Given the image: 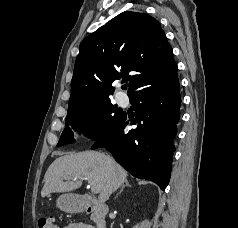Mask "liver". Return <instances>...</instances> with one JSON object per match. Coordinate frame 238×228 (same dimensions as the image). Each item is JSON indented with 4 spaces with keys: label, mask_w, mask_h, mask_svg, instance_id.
Returning a JSON list of instances; mask_svg holds the SVG:
<instances>
[{
    "label": "liver",
    "mask_w": 238,
    "mask_h": 228,
    "mask_svg": "<svg viewBox=\"0 0 238 228\" xmlns=\"http://www.w3.org/2000/svg\"><path fill=\"white\" fill-rule=\"evenodd\" d=\"M85 178L98 189L99 202L104 203L126 181L127 172L111 157L98 151L61 156L47 169L41 196L76 190Z\"/></svg>",
    "instance_id": "1"
}]
</instances>
